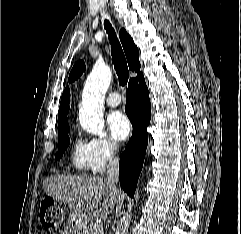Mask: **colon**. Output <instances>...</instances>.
Wrapping results in <instances>:
<instances>
[{
    "instance_id": "obj_1",
    "label": "colon",
    "mask_w": 241,
    "mask_h": 234,
    "mask_svg": "<svg viewBox=\"0 0 241 234\" xmlns=\"http://www.w3.org/2000/svg\"><path fill=\"white\" fill-rule=\"evenodd\" d=\"M39 218L43 226L53 228L61 224L63 214L51 198H46L41 203Z\"/></svg>"
}]
</instances>
